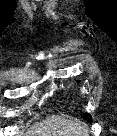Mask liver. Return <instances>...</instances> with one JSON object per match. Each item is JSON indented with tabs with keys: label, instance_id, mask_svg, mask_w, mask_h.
<instances>
[{
	"label": "liver",
	"instance_id": "obj_1",
	"mask_svg": "<svg viewBox=\"0 0 117 136\" xmlns=\"http://www.w3.org/2000/svg\"><path fill=\"white\" fill-rule=\"evenodd\" d=\"M26 134L27 136H83L86 131L76 120L52 116L35 125Z\"/></svg>",
	"mask_w": 117,
	"mask_h": 136
}]
</instances>
